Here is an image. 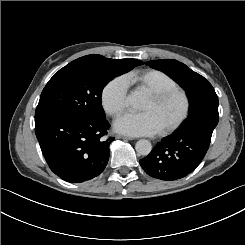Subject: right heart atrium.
I'll use <instances>...</instances> for the list:
<instances>
[{"mask_svg":"<svg viewBox=\"0 0 245 245\" xmlns=\"http://www.w3.org/2000/svg\"><path fill=\"white\" fill-rule=\"evenodd\" d=\"M128 86L121 78H113L101 92V102L104 110L111 116H119L126 104Z\"/></svg>","mask_w":245,"mask_h":245,"instance_id":"obj_1","label":"right heart atrium"}]
</instances>
